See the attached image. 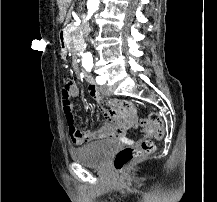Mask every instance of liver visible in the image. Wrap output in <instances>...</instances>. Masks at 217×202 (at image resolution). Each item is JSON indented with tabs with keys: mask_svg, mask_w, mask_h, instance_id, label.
I'll return each mask as SVG.
<instances>
[{
	"mask_svg": "<svg viewBox=\"0 0 217 202\" xmlns=\"http://www.w3.org/2000/svg\"><path fill=\"white\" fill-rule=\"evenodd\" d=\"M70 2H72V0H57V4H58V8H59L58 20H59L60 24H62V22H64L65 18H66L65 24H67V22H69L71 12H68V14H67V6H68V4H70Z\"/></svg>",
	"mask_w": 217,
	"mask_h": 202,
	"instance_id": "6515ba94",
	"label": "liver"
}]
</instances>
